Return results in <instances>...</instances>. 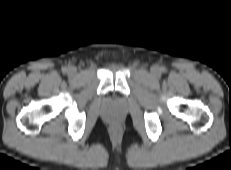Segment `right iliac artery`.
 <instances>
[{
  "instance_id": "1",
  "label": "right iliac artery",
  "mask_w": 231,
  "mask_h": 170,
  "mask_svg": "<svg viewBox=\"0 0 231 170\" xmlns=\"http://www.w3.org/2000/svg\"><path fill=\"white\" fill-rule=\"evenodd\" d=\"M62 71H63V72H67V67H63V68H62Z\"/></svg>"
}]
</instances>
